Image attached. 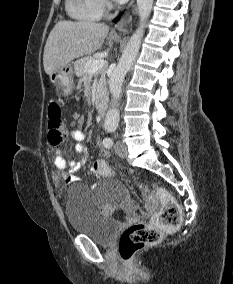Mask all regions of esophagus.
<instances>
[{"mask_svg":"<svg viewBox=\"0 0 233 284\" xmlns=\"http://www.w3.org/2000/svg\"><path fill=\"white\" fill-rule=\"evenodd\" d=\"M134 0L131 1L128 10L124 14V16L121 18V20L117 23L116 28L120 31H126L127 30V25L131 21V16H130V8L133 5Z\"/></svg>","mask_w":233,"mask_h":284,"instance_id":"34e87169","label":"esophagus"}]
</instances>
